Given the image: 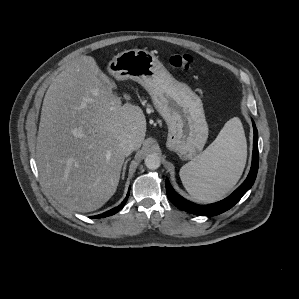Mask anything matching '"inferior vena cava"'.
I'll use <instances>...</instances> for the list:
<instances>
[{
  "label": "inferior vena cava",
  "instance_id": "inferior-vena-cava-1",
  "mask_svg": "<svg viewBox=\"0 0 299 299\" xmlns=\"http://www.w3.org/2000/svg\"><path fill=\"white\" fill-rule=\"evenodd\" d=\"M136 143L132 140H124L119 145V150L125 155H130L134 150H136Z\"/></svg>",
  "mask_w": 299,
  "mask_h": 299
}]
</instances>
